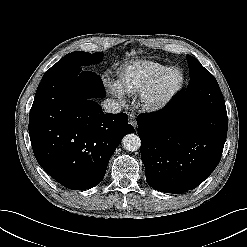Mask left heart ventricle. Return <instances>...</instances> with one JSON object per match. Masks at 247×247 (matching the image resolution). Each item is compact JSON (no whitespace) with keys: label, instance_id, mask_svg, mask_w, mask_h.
I'll return each instance as SVG.
<instances>
[{"label":"left heart ventricle","instance_id":"obj_1","mask_svg":"<svg viewBox=\"0 0 247 247\" xmlns=\"http://www.w3.org/2000/svg\"><path fill=\"white\" fill-rule=\"evenodd\" d=\"M179 77L177 74H172L168 77L167 81L171 84H174L178 81Z\"/></svg>","mask_w":247,"mask_h":247}]
</instances>
